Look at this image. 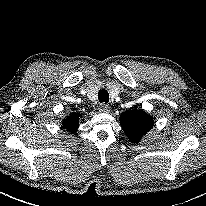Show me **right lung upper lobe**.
<instances>
[{
	"label": "right lung upper lobe",
	"mask_w": 206,
	"mask_h": 206,
	"mask_svg": "<svg viewBox=\"0 0 206 206\" xmlns=\"http://www.w3.org/2000/svg\"><path fill=\"white\" fill-rule=\"evenodd\" d=\"M79 117L80 115L77 113L71 114L68 118L64 119L62 124L63 127L66 128L70 132L76 131L79 126Z\"/></svg>",
	"instance_id": "cb5924a9"
}]
</instances>
